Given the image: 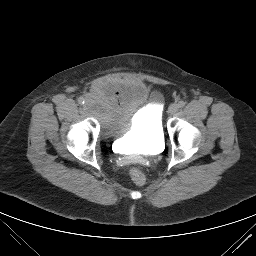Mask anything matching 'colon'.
<instances>
[{"label": "colon", "instance_id": "5ec220e1", "mask_svg": "<svg viewBox=\"0 0 256 256\" xmlns=\"http://www.w3.org/2000/svg\"><path fill=\"white\" fill-rule=\"evenodd\" d=\"M130 177L132 181L137 185H144L146 182V177L144 173L136 167L130 169Z\"/></svg>", "mask_w": 256, "mask_h": 256}]
</instances>
